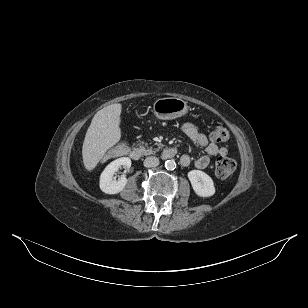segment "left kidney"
Masks as SVG:
<instances>
[{
    "mask_svg": "<svg viewBox=\"0 0 308 308\" xmlns=\"http://www.w3.org/2000/svg\"><path fill=\"white\" fill-rule=\"evenodd\" d=\"M188 178L195 193L200 197H211L215 194V187L212 178L200 170L188 172Z\"/></svg>",
    "mask_w": 308,
    "mask_h": 308,
    "instance_id": "1",
    "label": "left kidney"
}]
</instances>
